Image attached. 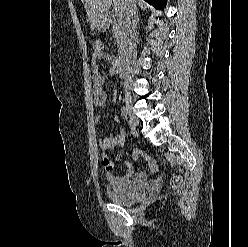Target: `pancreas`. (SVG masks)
Listing matches in <instances>:
<instances>
[{
    "label": "pancreas",
    "mask_w": 248,
    "mask_h": 247,
    "mask_svg": "<svg viewBox=\"0 0 248 247\" xmlns=\"http://www.w3.org/2000/svg\"><path fill=\"white\" fill-rule=\"evenodd\" d=\"M113 37L117 41L118 55L123 56L127 49L128 34L122 17L115 16L112 20Z\"/></svg>",
    "instance_id": "obj_1"
}]
</instances>
